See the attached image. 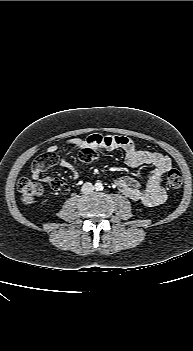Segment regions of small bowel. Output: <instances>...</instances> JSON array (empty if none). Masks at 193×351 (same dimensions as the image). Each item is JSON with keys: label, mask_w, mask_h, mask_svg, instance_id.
Returning a JSON list of instances; mask_svg holds the SVG:
<instances>
[{"label": "small bowel", "mask_w": 193, "mask_h": 351, "mask_svg": "<svg viewBox=\"0 0 193 351\" xmlns=\"http://www.w3.org/2000/svg\"><path fill=\"white\" fill-rule=\"evenodd\" d=\"M85 147L107 151L122 149L125 152V162L128 166L151 167L152 172L144 189L140 187L139 183L134 178L128 176L117 179L115 182L116 186L123 195L147 207H154L165 202L166 192L162 186V181L164 175L172 166V161L168 156L139 149L135 143L126 136H102L98 134L92 135L87 139L72 138L64 141L62 144H53L47 148V151L57 152L61 148L64 154H71L76 148L83 149ZM60 165L71 173L74 180L78 179V172L66 157L61 158ZM32 178L36 180L42 179L49 184L53 180V178L50 177H43L41 172L33 169Z\"/></svg>", "instance_id": "small-bowel-1"}]
</instances>
